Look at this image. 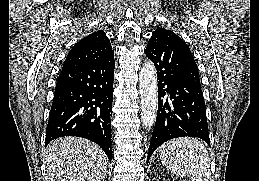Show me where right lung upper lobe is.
I'll return each instance as SVG.
<instances>
[{"label":"right lung upper lobe","mask_w":259,"mask_h":181,"mask_svg":"<svg viewBox=\"0 0 259 181\" xmlns=\"http://www.w3.org/2000/svg\"><path fill=\"white\" fill-rule=\"evenodd\" d=\"M111 43L102 30H98L79 40L69 51L62 70L89 64L111 54Z\"/></svg>","instance_id":"obj_1"}]
</instances>
